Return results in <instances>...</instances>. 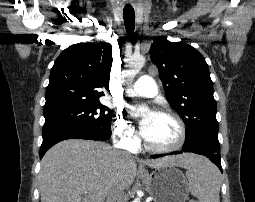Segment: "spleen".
<instances>
[{"instance_id": "3e777b00", "label": "spleen", "mask_w": 255, "mask_h": 202, "mask_svg": "<svg viewBox=\"0 0 255 202\" xmlns=\"http://www.w3.org/2000/svg\"><path fill=\"white\" fill-rule=\"evenodd\" d=\"M198 157L186 171L190 192L197 202H220V171L206 158Z\"/></svg>"}]
</instances>
